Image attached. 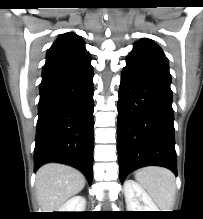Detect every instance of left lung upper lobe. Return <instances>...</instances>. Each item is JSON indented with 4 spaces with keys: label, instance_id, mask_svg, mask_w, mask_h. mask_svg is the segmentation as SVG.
I'll return each mask as SVG.
<instances>
[{
    "label": "left lung upper lobe",
    "instance_id": "5c2ea615",
    "mask_svg": "<svg viewBox=\"0 0 203 219\" xmlns=\"http://www.w3.org/2000/svg\"><path fill=\"white\" fill-rule=\"evenodd\" d=\"M128 58H137L168 68L167 58L162 50L147 38L134 44V48Z\"/></svg>",
    "mask_w": 203,
    "mask_h": 219
}]
</instances>
